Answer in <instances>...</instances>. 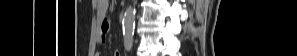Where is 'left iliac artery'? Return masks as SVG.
<instances>
[{"instance_id": "1", "label": "left iliac artery", "mask_w": 297, "mask_h": 56, "mask_svg": "<svg viewBox=\"0 0 297 56\" xmlns=\"http://www.w3.org/2000/svg\"><path fill=\"white\" fill-rule=\"evenodd\" d=\"M133 44V35H127L125 37V46L127 50H130Z\"/></svg>"}]
</instances>
